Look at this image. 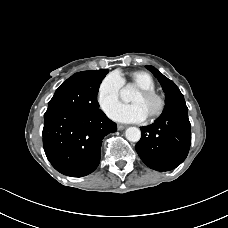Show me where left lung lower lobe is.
Wrapping results in <instances>:
<instances>
[{
	"instance_id": "left-lung-lower-lobe-1",
	"label": "left lung lower lobe",
	"mask_w": 228,
	"mask_h": 228,
	"mask_svg": "<svg viewBox=\"0 0 228 228\" xmlns=\"http://www.w3.org/2000/svg\"><path fill=\"white\" fill-rule=\"evenodd\" d=\"M135 149L142 161L157 171H169L187 157L191 144V124L184 98L165 106L156 121L141 127Z\"/></svg>"
}]
</instances>
